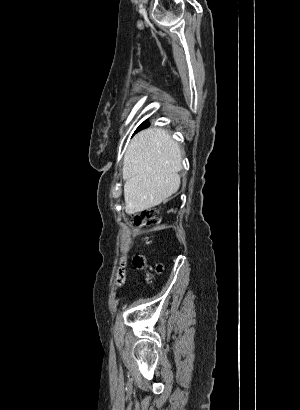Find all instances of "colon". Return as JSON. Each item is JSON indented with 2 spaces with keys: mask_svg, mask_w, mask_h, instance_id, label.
<instances>
[{
  "mask_svg": "<svg viewBox=\"0 0 300 410\" xmlns=\"http://www.w3.org/2000/svg\"><path fill=\"white\" fill-rule=\"evenodd\" d=\"M131 223L134 224L135 226L139 228H147V227H152L156 226L159 223V218H158V213L157 210L155 209H147L144 210L138 214H136L132 220ZM134 265L137 268H145L146 267V260L142 256H136L134 258ZM162 270L161 265H156L155 266V271L160 272ZM125 280V270L124 267H121L119 272H118V283L122 284Z\"/></svg>",
  "mask_w": 300,
  "mask_h": 410,
  "instance_id": "5ec220e1",
  "label": "colon"
}]
</instances>
